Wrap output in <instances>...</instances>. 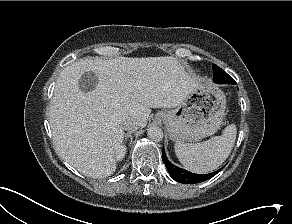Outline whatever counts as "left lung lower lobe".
<instances>
[{"label": "left lung lower lobe", "instance_id": "1", "mask_svg": "<svg viewBox=\"0 0 292 224\" xmlns=\"http://www.w3.org/2000/svg\"><path fill=\"white\" fill-rule=\"evenodd\" d=\"M224 72V71H223ZM218 83H231L236 84L234 79L229 76L226 72H224V79L217 80ZM162 160L166 165V168L170 174V176L177 182L183 183V184H194V183H200L205 180H208L209 178L216 175L218 172L221 171L219 169L216 172L209 173V174H195L191 173L185 169L179 168L175 165H173L170 161H168L164 149L162 150Z\"/></svg>", "mask_w": 292, "mask_h": 224}]
</instances>
